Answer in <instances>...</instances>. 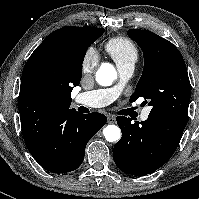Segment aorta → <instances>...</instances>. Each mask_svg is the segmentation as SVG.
I'll return each instance as SVG.
<instances>
[{"mask_svg":"<svg viewBox=\"0 0 199 199\" xmlns=\"http://www.w3.org/2000/svg\"><path fill=\"white\" fill-rule=\"evenodd\" d=\"M117 73L113 66L104 64L96 73V81L102 86H109L116 79ZM107 141L116 142L121 137V131L116 125H108L103 129Z\"/></svg>","mask_w":199,"mask_h":199,"instance_id":"762f6f07","label":"aorta"}]
</instances>
